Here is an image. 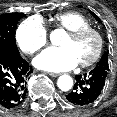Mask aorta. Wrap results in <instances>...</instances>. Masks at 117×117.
Instances as JSON below:
<instances>
[{
    "label": "aorta",
    "instance_id": "762f6f07",
    "mask_svg": "<svg viewBox=\"0 0 117 117\" xmlns=\"http://www.w3.org/2000/svg\"><path fill=\"white\" fill-rule=\"evenodd\" d=\"M60 33H61V30H55L51 33L50 39L53 43H55V40L60 35ZM57 86L62 91H69L73 86L72 77L66 74L60 76L57 81Z\"/></svg>",
    "mask_w": 117,
    "mask_h": 117
}]
</instances>
